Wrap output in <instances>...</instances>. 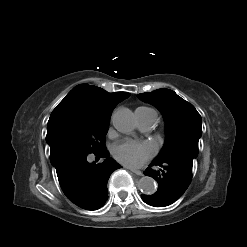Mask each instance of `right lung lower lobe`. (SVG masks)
Here are the masks:
<instances>
[{"label":"right lung lower lobe","instance_id":"obj_1","mask_svg":"<svg viewBox=\"0 0 247 247\" xmlns=\"http://www.w3.org/2000/svg\"><path fill=\"white\" fill-rule=\"evenodd\" d=\"M88 154L66 147H53L50 148V161L56 168L65 195L82 209L96 210L108 198L110 174L121 166L109 157L106 149L94 153L96 157L105 159L101 164L89 163Z\"/></svg>","mask_w":247,"mask_h":247}]
</instances>
